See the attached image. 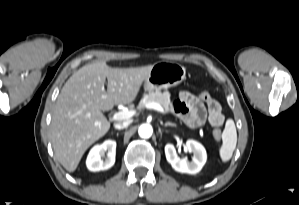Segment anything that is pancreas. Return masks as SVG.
Instances as JSON below:
<instances>
[{
  "label": "pancreas",
  "mask_w": 299,
  "mask_h": 205,
  "mask_svg": "<svg viewBox=\"0 0 299 205\" xmlns=\"http://www.w3.org/2000/svg\"><path fill=\"white\" fill-rule=\"evenodd\" d=\"M170 93L168 91L161 92V91H156V92H150L141 99L139 105L141 107L146 106L148 103L151 102H156L159 103L162 107L165 108L166 111L170 112L171 111V100H170Z\"/></svg>",
  "instance_id": "1"
}]
</instances>
